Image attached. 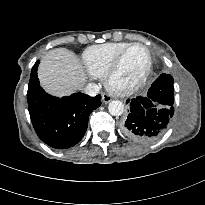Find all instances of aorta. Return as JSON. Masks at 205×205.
I'll use <instances>...</instances> for the list:
<instances>
[{
  "instance_id": "762f6f07",
  "label": "aorta",
  "mask_w": 205,
  "mask_h": 205,
  "mask_svg": "<svg viewBox=\"0 0 205 205\" xmlns=\"http://www.w3.org/2000/svg\"><path fill=\"white\" fill-rule=\"evenodd\" d=\"M108 111L113 116H120L124 112V105L119 100H113L108 105Z\"/></svg>"
}]
</instances>
